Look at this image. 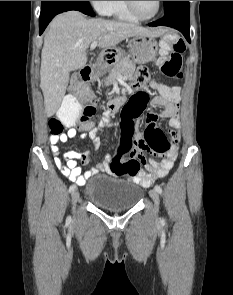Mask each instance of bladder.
<instances>
[{"instance_id":"1","label":"bladder","mask_w":233,"mask_h":295,"mask_svg":"<svg viewBox=\"0 0 233 295\" xmlns=\"http://www.w3.org/2000/svg\"><path fill=\"white\" fill-rule=\"evenodd\" d=\"M143 189L131 181L96 176L85 184V198L109 211H125L135 207L143 197Z\"/></svg>"}]
</instances>
